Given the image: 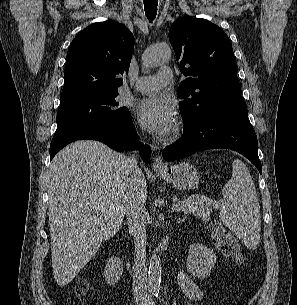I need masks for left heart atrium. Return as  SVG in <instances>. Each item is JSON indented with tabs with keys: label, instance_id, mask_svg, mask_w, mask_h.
I'll list each match as a JSON object with an SVG mask.
<instances>
[{
	"label": "left heart atrium",
	"instance_id": "left-heart-atrium-1",
	"mask_svg": "<svg viewBox=\"0 0 297 305\" xmlns=\"http://www.w3.org/2000/svg\"><path fill=\"white\" fill-rule=\"evenodd\" d=\"M136 114L142 126L155 135H167L175 124L173 103L164 96L143 99L136 107Z\"/></svg>",
	"mask_w": 297,
	"mask_h": 305
}]
</instances>
